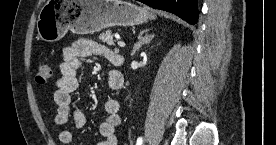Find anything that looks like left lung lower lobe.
Instances as JSON below:
<instances>
[{
    "label": "left lung lower lobe",
    "mask_w": 276,
    "mask_h": 145,
    "mask_svg": "<svg viewBox=\"0 0 276 145\" xmlns=\"http://www.w3.org/2000/svg\"><path fill=\"white\" fill-rule=\"evenodd\" d=\"M153 8L174 13L194 25L198 19L197 0H138Z\"/></svg>",
    "instance_id": "1"
}]
</instances>
